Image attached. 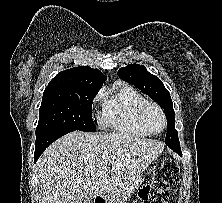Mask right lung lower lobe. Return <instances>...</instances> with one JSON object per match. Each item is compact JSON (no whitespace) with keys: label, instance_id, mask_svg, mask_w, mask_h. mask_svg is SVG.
I'll return each mask as SVG.
<instances>
[{"label":"right lung lower lobe","instance_id":"98d812e1","mask_svg":"<svg viewBox=\"0 0 222 203\" xmlns=\"http://www.w3.org/2000/svg\"><path fill=\"white\" fill-rule=\"evenodd\" d=\"M71 129L54 130L47 133H42L36 136L34 162L38 160L44 150L55 140L63 135L72 132Z\"/></svg>","mask_w":222,"mask_h":203}]
</instances>
